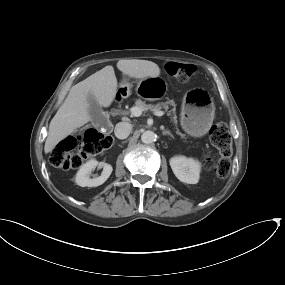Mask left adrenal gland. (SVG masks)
Returning a JSON list of instances; mask_svg holds the SVG:
<instances>
[{
  "mask_svg": "<svg viewBox=\"0 0 285 285\" xmlns=\"http://www.w3.org/2000/svg\"><path fill=\"white\" fill-rule=\"evenodd\" d=\"M162 134H163V135H169V136H171V137L173 138V135H172L171 132L168 131V130H164V131L162 132Z\"/></svg>",
  "mask_w": 285,
  "mask_h": 285,
  "instance_id": "left-adrenal-gland-1",
  "label": "left adrenal gland"
}]
</instances>
